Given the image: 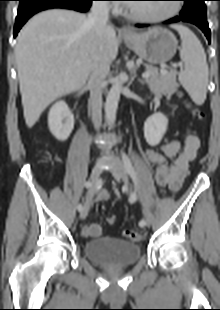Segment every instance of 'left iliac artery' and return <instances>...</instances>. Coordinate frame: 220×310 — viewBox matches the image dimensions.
I'll return each mask as SVG.
<instances>
[{
  "mask_svg": "<svg viewBox=\"0 0 220 310\" xmlns=\"http://www.w3.org/2000/svg\"><path fill=\"white\" fill-rule=\"evenodd\" d=\"M121 155H122V161H123V164H124V167H125L126 172L130 175V177L132 178L134 184L137 185V176H136V173H135V171H134V168H133V166H132V163H131L129 157L127 156V154H126L125 152H121ZM136 199H137V195H136V193L134 192V193L130 196L129 202H130L131 204H133V203L136 201ZM139 225H140V226H144V225H145L144 220H141V221L139 222Z\"/></svg>",
  "mask_w": 220,
  "mask_h": 310,
  "instance_id": "left-iliac-artery-1",
  "label": "left iliac artery"
}]
</instances>
